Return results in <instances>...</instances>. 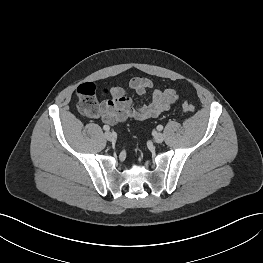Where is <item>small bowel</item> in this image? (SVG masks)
<instances>
[{"label":"small bowel","instance_id":"obj_1","mask_svg":"<svg viewBox=\"0 0 263 263\" xmlns=\"http://www.w3.org/2000/svg\"><path fill=\"white\" fill-rule=\"evenodd\" d=\"M128 86L138 95L150 92L151 100L146 104L136 106L124 88L113 86L111 88V99L98 103L88 116L99 118L106 123L125 122L127 120L143 121L160 116L178 98L175 90L156 88L153 82L145 77H132Z\"/></svg>","mask_w":263,"mask_h":263}]
</instances>
